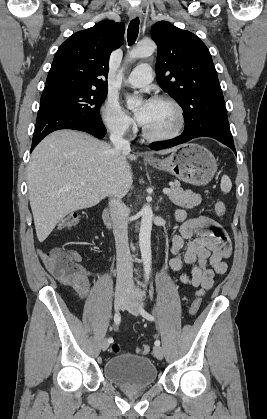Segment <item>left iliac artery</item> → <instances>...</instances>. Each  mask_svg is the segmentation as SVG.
<instances>
[{
	"label": "left iliac artery",
	"mask_w": 267,
	"mask_h": 419,
	"mask_svg": "<svg viewBox=\"0 0 267 419\" xmlns=\"http://www.w3.org/2000/svg\"><path fill=\"white\" fill-rule=\"evenodd\" d=\"M140 313L147 320H150V321L154 320V317L151 314H149L147 311H145L143 308H140ZM155 345L159 346L160 345V340H156Z\"/></svg>",
	"instance_id": "1"
}]
</instances>
